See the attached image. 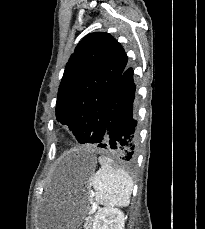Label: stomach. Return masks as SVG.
Instances as JSON below:
<instances>
[{"label":"stomach","mask_w":205,"mask_h":229,"mask_svg":"<svg viewBox=\"0 0 205 229\" xmlns=\"http://www.w3.org/2000/svg\"><path fill=\"white\" fill-rule=\"evenodd\" d=\"M81 174L89 179L96 159L92 154H81ZM87 197L79 203H70L69 198H47L37 207L36 229H77L83 221Z\"/></svg>","instance_id":"1"}]
</instances>
